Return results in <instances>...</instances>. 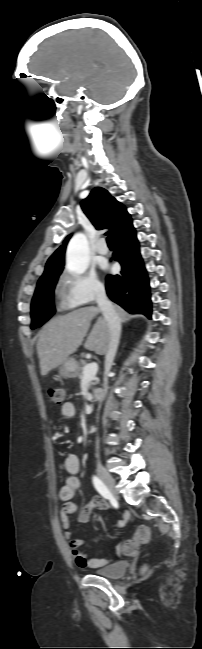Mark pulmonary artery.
Listing matches in <instances>:
<instances>
[{
    "mask_svg": "<svg viewBox=\"0 0 202 649\" xmlns=\"http://www.w3.org/2000/svg\"><path fill=\"white\" fill-rule=\"evenodd\" d=\"M96 251L101 255H106L108 253V247L106 246L103 239H101L97 244Z\"/></svg>",
    "mask_w": 202,
    "mask_h": 649,
    "instance_id": "e3ab8cb5",
    "label": "pulmonary artery"
}]
</instances>
